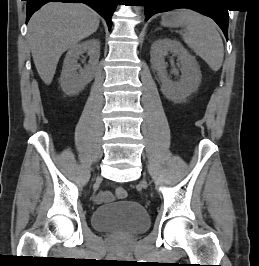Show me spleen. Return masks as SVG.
<instances>
[{"label":"spleen","instance_id":"3e777b00","mask_svg":"<svg viewBox=\"0 0 259 266\" xmlns=\"http://www.w3.org/2000/svg\"><path fill=\"white\" fill-rule=\"evenodd\" d=\"M178 14L185 21L184 42L213 71H218L223 63L224 47L214 21L193 10L182 9Z\"/></svg>","mask_w":259,"mask_h":266}]
</instances>
